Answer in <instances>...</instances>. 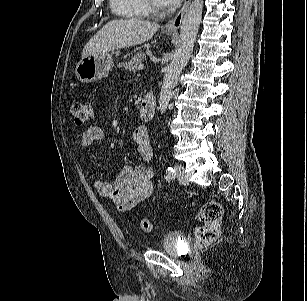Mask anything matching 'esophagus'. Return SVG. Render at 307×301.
I'll return each instance as SVG.
<instances>
[{
    "label": "esophagus",
    "instance_id": "1",
    "mask_svg": "<svg viewBox=\"0 0 307 301\" xmlns=\"http://www.w3.org/2000/svg\"><path fill=\"white\" fill-rule=\"evenodd\" d=\"M190 1L191 0H185L184 1V4L182 6V8L180 9V11L177 13V15L171 19L166 25H165V30L168 31V32H174L176 31L181 23H182V20H183V16L190 4Z\"/></svg>",
    "mask_w": 307,
    "mask_h": 301
}]
</instances>
